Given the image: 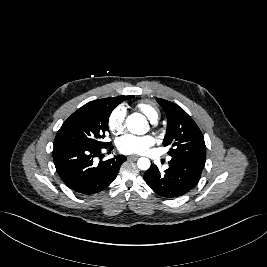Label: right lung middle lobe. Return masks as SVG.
<instances>
[{
    "instance_id": "1",
    "label": "right lung middle lobe",
    "mask_w": 267,
    "mask_h": 267,
    "mask_svg": "<svg viewBox=\"0 0 267 267\" xmlns=\"http://www.w3.org/2000/svg\"><path fill=\"white\" fill-rule=\"evenodd\" d=\"M133 96H127V99ZM117 103L101 101L85 104L74 112L61 126L54 140V146H80L105 148L104 142L108 119Z\"/></svg>"
}]
</instances>
